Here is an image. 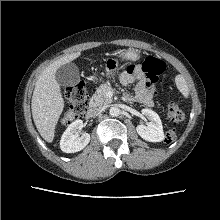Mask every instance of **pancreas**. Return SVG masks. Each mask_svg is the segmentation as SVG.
<instances>
[{
	"instance_id": "1",
	"label": "pancreas",
	"mask_w": 220,
	"mask_h": 220,
	"mask_svg": "<svg viewBox=\"0 0 220 220\" xmlns=\"http://www.w3.org/2000/svg\"><path fill=\"white\" fill-rule=\"evenodd\" d=\"M110 90H111L110 86L102 84L90 99V105L92 107H99V108L107 107L112 102V99L106 96V93Z\"/></svg>"
}]
</instances>
